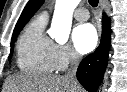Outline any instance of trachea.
I'll list each match as a JSON object with an SVG mask.
<instances>
[{
	"instance_id": "trachea-1",
	"label": "trachea",
	"mask_w": 127,
	"mask_h": 92,
	"mask_svg": "<svg viewBox=\"0 0 127 92\" xmlns=\"http://www.w3.org/2000/svg\"><path fill=\"white\" fill-rule=\"evenodd\" d=\"M88 2L92 7H97L98 5V0H88Z\"/></svg>"
}]
</instances>
